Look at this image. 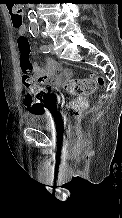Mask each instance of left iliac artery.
Segmentation results:
<instances>
[{
	"label": "left iliac artery",
	"instance_id": "left-iliac-artery-1",
	"mask_svg": "<svg viewBox=\"0 0 122 218\" xmlns=\"http://www.w3.org/2000/svg\"><path fill=\"white\" fill-rule=\"evenodd\" d=\"M31 34H32V36H33L34 38H36V37H38L39 32H38V31H33V32H31ZM40 50H41L43 53H49V52H50V51H49V47H48L47 45H41V46H40Z\"/></svg>",
	"mask_w": 122,
	"mask_h": 218
}]
</instances>
